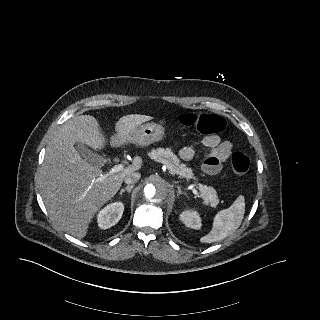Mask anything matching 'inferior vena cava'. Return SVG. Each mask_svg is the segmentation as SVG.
<instances>
[{
    "label": "inferior vena cava",
    "mask_w": 320,
    "mask_h": 320,
    "mask_svg": "<svg viewBox=\"0 0 320 320\" xmlns=\"http://www.w3.org/2000/svg\"><path fill=\"white\" fill-rule=\"evenodd\" d=\"M141 175L138 172H132L129 173L127 176H125L124 181L126 184H134L140 179Z\"/></svg>",
    "instance_id": "602c4592"
}]
</instances>
